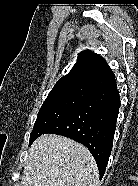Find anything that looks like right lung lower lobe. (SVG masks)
<instances>
[{"label": "right lung lower lobe", "mask_w": 138, "mask_h": 186, "mask_svg": "<svg viewBox=\"0 0 138 186\" xmlns=\"http://www.w3.org/2000/svg\"><path fill=\"white\" fill-rule=\"evenodd\" d=\"M120 107L117 87L92 90L86 103L55 123L45 134H58L85 145L93 155L100 179L112 151Z\"/></svg>", "instance_id": "98d812e1"}]
</instances>
